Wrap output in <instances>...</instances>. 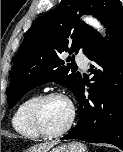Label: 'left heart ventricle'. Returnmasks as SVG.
<instances>
[{
  "instance_id": "left-heart-ventricle-1",
  "label": "left heart ventricle",
  "mask_w": 123,
  "mask_h": 152,
  "mask_svg": "<svg viewBox=\"0 0 123 152\" xmlns=\"http://www.w3.org/2000/svg\"><path fill=\"white\" fill-rule=\"evenodd\" d=\"M69 117L70 105L64 99H50L42 108V122L49 131H57L63 128L68 122Z\"/></svg>"
}]
</instances>
